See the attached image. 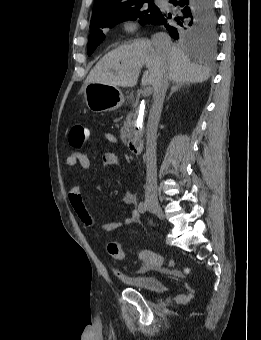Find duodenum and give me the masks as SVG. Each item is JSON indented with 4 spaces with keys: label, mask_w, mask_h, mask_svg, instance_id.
I'll list each match as a JSON object with an SVG mask.
<instances>
[{
    "label": "duodenum",
    "mask_w": 261,
    "mask_h": 340,
    "mask_svg": "<svg viewBox=\"0 0 261 340\" xmlns=\"http://www.w3.org/2000/svg\"><path fill=\"white\" fill-rule=\"evenodd\" d=\"M127 146L133 155H139L142 152L143 140L140 136H133L129 139Z\"/></svg>",
    "instance_id": "410a0bca"
}]
</instances>
